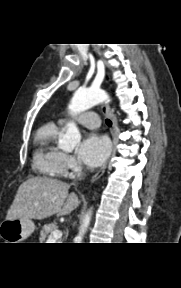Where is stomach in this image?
Instances as JSON below:
<instances>
[{"mask_svg": "<svg viewBox=\"0 0 181 288\" xmlns=\"http://www.w3.org/2000/svg\"><path fill=\"white\" fill-rule=\"evenodd\" d=\"M35 230V224L31 219L5 220L0 224V237L5 243H21Z\"/></svg>", "mask_w": 181, "mask_h": 288, "instance_id": "0dacf381", "label": "stomach"}]
</instances>
